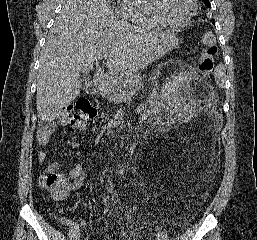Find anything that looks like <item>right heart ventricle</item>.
I'll use <instances>...</instances> for the list:
<instances>
[{
	"label": "right heart ventricle",
	"mask_w": 257,
	"mask_h": 240,
	"mask_svg": "<svg viewBox=\"0 0 257 240\" xmlns=\"http://www.w3.org/2000/svg\"><path fill=\"white\" fill-rule=\"evenodd\" d=\"M120 12L138 26L148 29H161L165 25L153 14L149 0H123Z\"/></svg>",
	"instance_id": "e07e8e85"
}]
</instances>
